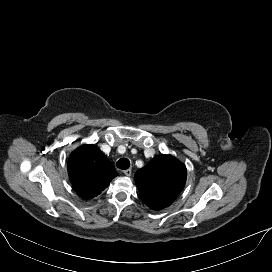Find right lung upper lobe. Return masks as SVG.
<instances>
[{
    "label": "right lung upper lobe",
    "instance_id": "right-lung-upper-lobe-1",
    "mask_svg": "<svg viewBox=\"0 0 272 272\" xmlns=\"http://www.w3.org/2000/svg\"><path fill=\"white\" fill-rule=\"evenodd\" d=\"M68 175L76 193L89 200L107 188L118 173L104 153L90 144L72 152L68 160Z\"/></svg>",
    "mask_w": 272,
    "mask_h": 272
}]
</instances>
